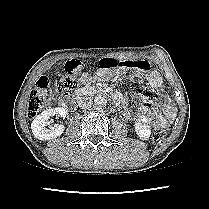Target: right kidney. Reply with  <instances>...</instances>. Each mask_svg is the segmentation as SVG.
<instances>
[{
    "mask_svg": "<svg viewBox=\"0 0 209 209\" xmlns=\"http://www.w3.org/2000/svg\"><path fill=\"white\" fill-rule=\"evenodd\" d=\"M54 115H58L61 117H66L68 115V111L65 108H51L40 113L31 124V129L34 137L39 140H50L59 137L63 131V125H57L55 127L46 128L49 123V119Z\"/></svg>",
    "mask_w": 209,
    "mask_h": 209,
    "instance_id": "ca27d5eb",
    "label": "right kidney"
}]
</instances>
